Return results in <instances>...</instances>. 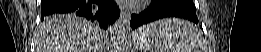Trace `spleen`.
I'll return each mask as SVG.
<instances>
[{"label":"spleen","mask_w":261,"mask_h":52,"mask_svg":"<svg viewBox=\"0 0 261 52\" xmlns=\"http://www.w3.org/2000/svg\"><path fill=\"white\" fill-rule=\"evenodd\" d=\"M159 52H201L200 33L190 22L162 19L145 27Z\"/></svg>","instance_id":"1"}]
</instances>
